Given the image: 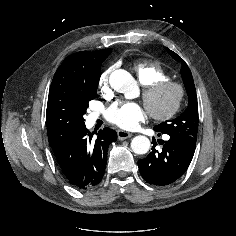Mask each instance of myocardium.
<instances>
[{
	"label": "myocardium",
	"instance_id": "1",
	"mask_svg": "<svg viewBox=\"0 0 236 236\" xmlns=\"http://www.w3.org/2000/svg\"><path fill=\"white\" fill-rule=\"evenodd\" d=\"M172 88L175 90L176 95L171 105L164 111H155L150 107V102L161 91ZM185 97V88L183 84L175 80H162L155 82L144 88L142 98L146 104L150 116L159 121H164L172 118L180 109L181 104Z\"/></svg>",
	"mask_w": 236,
	"mask_h": 236
}]
</instances>
